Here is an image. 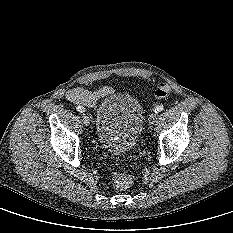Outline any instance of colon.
Instances as JSON below:
<instances>
[{
  "label": "colon",
  "instance_id": "colon-1",
  "mask_svg": "<svg viewBox=\"0 0 233 233\" xmlns=\"http://www.w3.org/2000/svg\"><path fill=\"white\" fill-rule=\"evenodd\" d=\"M169 86L165 83H160L156 92L155 96L158 99H164L169 94ZM113 181L114 184L119 188H127L131 184V177L128 174L121 173L119 171L113 172Z\"/></svg>",
  "mask_w": 233,
  "mask_h": 233
}]
</instances>
